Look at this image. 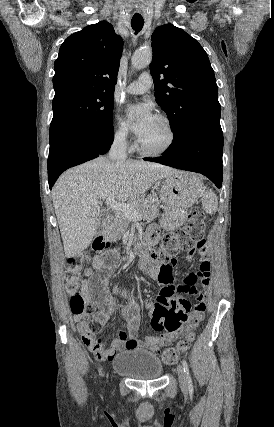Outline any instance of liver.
<instances>
[{"instance_id":"liver-1","label":"liver","mask_w":274,"mask_h":427,"mask_svg":"<svg viewBox=\"0 0 274 427\" xmlns=\"http://www.w3.org/2000/svg\"><path fill=\"white\" fill-rule=\"evenodd\" d=\"M175 172L143 160L112 162L104 156L64 172L52 190V198L66 257H74L90 245L100 225L101 200L114 198L131 204Z\"/></svg>"}]
</instances>
